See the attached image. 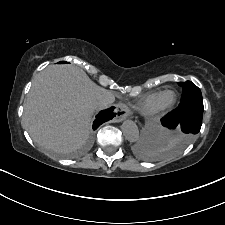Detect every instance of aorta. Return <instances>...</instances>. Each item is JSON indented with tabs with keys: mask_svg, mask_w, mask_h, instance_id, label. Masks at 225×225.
<instances>
[{
	"mask_svg": "<svg viewBox=\"0 0 225 225\" xmlns=\"http://www.w3.org/2000/svg\"><path fill=\"white\" fill-rule=\"evenodd\" d=\"M122 132L126 140L129 142H136L139 139V130L137 125L131 121L126 120L121 126Z\"/></svg>",
	"mask_w": 225,
	"mask_h": 225,
	"instance_id": "obj_1",
	"label": "aorta"
}]
</instances>
